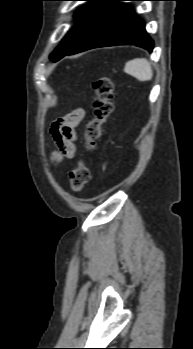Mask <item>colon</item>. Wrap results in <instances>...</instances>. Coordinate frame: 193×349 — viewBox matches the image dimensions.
<instances>
[{"mask_svg": "<svg viewBox=\"0 0 193 349\" xmlns=\"http://www.w3.org/2000/svg\"><path fill=\"white\" fill-rule=\"evenodd\" d=\"M93 88L95 97L93 101V117L87 123L84 132L83 148L85 152H91L101 135L103 124L113 110L114 85L110 78L101 77L97 79ZM90 180V170L87 160L80 158L75 168L70 172V186L75 192L85 188Z\"/></svg>", "mask_w": 193, "mask_h": 349, "instance_id": "obj_1", "label": "colon"}]
</instances>
